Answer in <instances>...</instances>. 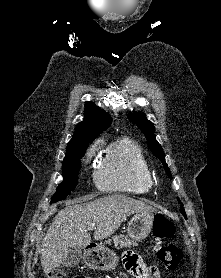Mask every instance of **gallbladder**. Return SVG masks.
<instances>
[{
  "instance_id": "obj_1",
  "label": "gallbladder",
  "mask_w": 221,
  "mask_h": 278,
  "mask_svg": "<svg viewBox=\"0 0 221 278\" xmlns=\"http://www.w3.org/2000/svg\"><path fill=\"white\" fill-rule=\"evenodd\" d=\"M82 259V251L81 250H69L67 257L63 261V266L65 267H75L80 263Z\"/></svg>"
}]
</instances>
